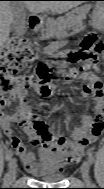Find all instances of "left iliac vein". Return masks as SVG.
<instances>
[{"label": "left iliac vein", "mask_w": 104, "mask_h": 189, "mask_svg": "<svg viewBox=\"0 0 104 189\" xmlns=\"http://www.w3.org/2000/svg\"><path fill=\"white\" fill-rule=\"evenodd\" d=\"M81 175L84 180V182L89 185L90 184V178H89V163L88 161H84L81 166Z\"/></svg>", "instance_id": "1"}]
</instances>
